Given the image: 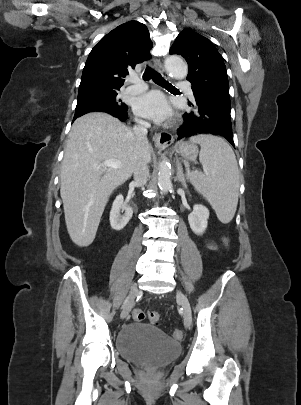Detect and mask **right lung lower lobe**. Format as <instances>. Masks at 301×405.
I'll return each mask as SVG.
<instances>
[{
  "instance_id": "98d812e1",
  "label": "right lung lower lobe",
  "mask_w": 301,
  "mask_h": 405,
  "mask_svg": "<svg viewBox=\"0 0 301 405\" xmlns=\"http://www.w3.org/2000/svg\"><path fill=\"white\" fill-rule=\"evenodd\" d=\"M106 112L114 117L119 118L121 121H125L128 118V114H127V110L126 111H114V110H110V111H103ZM78 116H74V119H76Z\"/></svg>"
}]
</instances>
